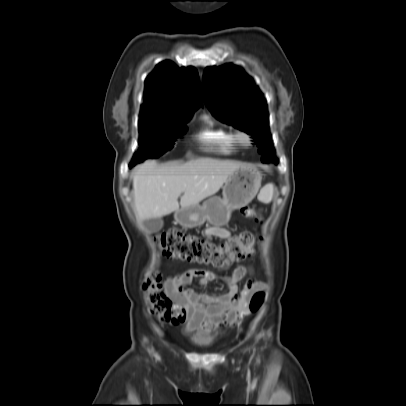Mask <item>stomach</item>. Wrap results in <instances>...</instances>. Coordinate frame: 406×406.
Wrapping results in <instances>:
<instances>
[{
    "label": "stomach",
    "instance_id": "0dacf381",
    "mask_svg": "<svg viewBox=\"0 0 406 406\" xmlns=\"http://www.w3.org/2000/svg\"><path fill=\"white\" fill-rule=\"evenodd\" d=\"M262 174L253 167H241L233 172L223 187V198L213 196L202 205L196 204L175 212V220L182 226L193 228L208 221L221 227L228 223L231 212L249 204L261 186Z\"/></svg>",
    "mask_w": 406,
    "mask_h": 406
}]
</instances>
